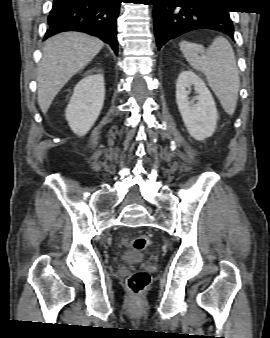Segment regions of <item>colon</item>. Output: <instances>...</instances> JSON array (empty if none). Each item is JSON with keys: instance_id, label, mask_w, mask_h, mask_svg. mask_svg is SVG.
I'll return each mask as SVG.
<instances>
[{"instance_id": "1", "label": "colon", "mask_w": 270, "mask_h": 338, "mask_svg": "<svg viewBox=\"0 0 270 338\" xmlns=\"http://www.w3.org/2000/svg\"><path fill=\"white\" fill-rule=\"evenodd\" d=\"M130 246L137 251H143L151 243L145 235L134 236L130 239ZM149 283V275L146 272L138 271L131 274L128 278V286L135 294H140Z\"/></svg>"}]
</instances>
